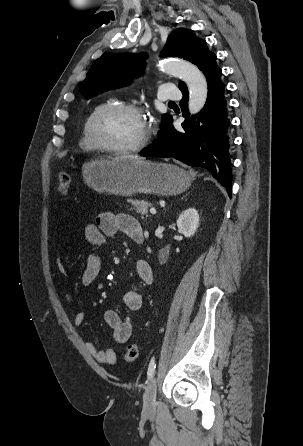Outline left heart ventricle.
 Returning <instances> with one entry per match:
<instances>
[{
	"label": "left heart ventricle",
	"mask_w": 303,
	"mask_h": 446,
	"mask_svg": "<svg viewBox=\"0 0 303 446\" xmlns=\"http://www.w3.org/2000/svg\"><path fill=\"white\" fill-rule=\"evenodd\" d=\"M145 130V121L127 111L104 114L97 124V135L108 145L123 147L137 142Z\"/></svg>",
	"instance_id": "left-heart-ventricle-1"
}]
</instances>
